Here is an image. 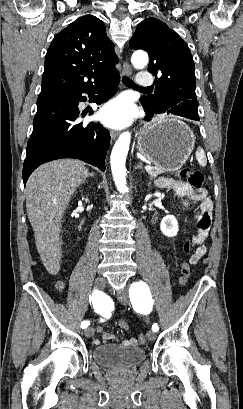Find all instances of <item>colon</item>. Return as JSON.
I'll use <instances>...</instances> for the list:
<instances>
[{"instance_id": "obj_1", "label": "colon", "mask_w": 243, "mask_h": 409, "mask_svg": "<svg viewBox=\"0 0 243 409\" xmlns=\"http://www.w3.org/2000/svg\"><path fill=\"white\" fill-rule=\"evenodd\" d=\"M175 176L181 180H186L188 183L195 189H201L203 184V175L200 172H192L188 168H182L175 172ZM192 243L191 241H187L184 246V250L186 253L191 251ZM191 273V265L189 261H184L181 264V279L180 285L185 286L188 282V278L190 277ZM122 327H126L125 322H121ZM139 343L144 344L146 342V337L144 335H140Z\"/></svg>"}]
</instances>
